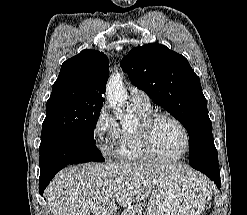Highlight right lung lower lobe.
Returning a JSON list of instances; mask_svg holds the SVG:
<instances>
[{
	"instance_id": "right-lung-lower-lobe-1",
	"label": "right lung lower lobe",
	"mask_w": 247,
	"mask_h": 215,
	"mask_svg": "<svg viewBox=\"0 0 247 215\" xmlns=\"http://www.w3.org/2000/svg\"><path fill=\"white\" fill-rule=\"evenodd\" d=\"M40 166V194L49 184L55 174L69 164L84 163L90 161L103 162L101 152L95 146V142L84 140L75 135H55L39 147Z\"/></svg>"
}]
</instances>
